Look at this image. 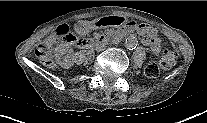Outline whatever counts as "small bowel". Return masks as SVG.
I'll return each mask as SVG.
<instances>
[{"mask_svg":"<svg viewBox=\"0 0 207 123\" xmlns=\"http://www.w3.org/2000/svg\"><path fill=\"white\" fill-rule=\"evenodd\" d=\"M99 24L103 28L123 27L126 24V27L122 31L137 30L143 37V43L151 47L153 54L157 55L161 51L162 42L158 38L155 29L148 24L135 25L133 22L126 23L124 17H104L99 21ZM73 29L75 31H84L87 29V23L85 21L73 22Z\"/></svg>","mask_w":207,"mask_h":123,"instance_id":"obj_1","label":"small bowel"}]
</instances>
